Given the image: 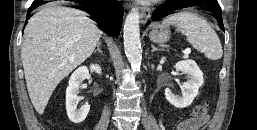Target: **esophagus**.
<instances>
[{
	"label": "esophagus",
	"instance_id": "34e87169",
	"mask_svg": "<svg viewBox=\"0 0 257 130\" xmlns=\"http://www.w3.org/2000/svg\"><path fill=\"white\" fill-rule=\"evenodd\" d=\"M151 15V9L150 8H143L141 9V12H140V20L141 22H145Z\"/></svg>",
	"mask_w": 257,
	"mask_h": 130
}]
</instances>
